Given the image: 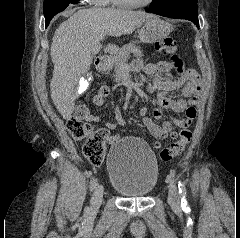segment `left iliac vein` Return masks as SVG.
Here are the masks:
<instances>
[{"label": "left iliac vein", "instance_id": "left-iliac-vein-1", "mask_svg": "<svg viewBox=\"0 0 240 238\" xmlns=\"http://www.w3.org/2000/svg\"><path fill=\"white\" fill-rule=\"evenodd\" d=\"M168 202L173 209H180V194L178 192L177 186L174 183H171L169 185Z\"/></svg>", "mask_w": 240, "mask_h": 238}]
</instances>
